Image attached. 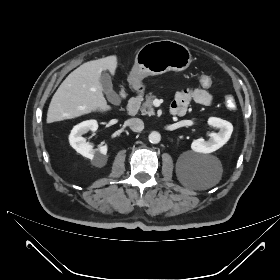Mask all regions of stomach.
<instances>
[{"mask_svg": "<svg viewBox=\"0 0 280 280\" xmlns=\"http://www.w3.org/2000/svg\"><path fill=\"white\" fill-rule=\"evenodd\" d=\"M191 57L189 49L181 43L172 40L149 42L137 52L128 82L135 90H139L143 87L142 80L147 76L187 69Z\"/></svg>", "mask_w": 280, "mask_h": 280, "instance_id": "0dacf381", "label": "stomach"}]
</instances>
